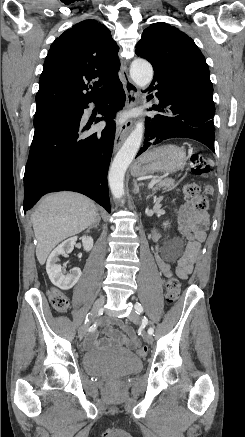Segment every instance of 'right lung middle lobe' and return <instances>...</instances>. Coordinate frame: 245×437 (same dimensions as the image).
<instances>
[{"label": "right lung middle lobe", "mask_w": 245, "mask_h": 437, "mask_svg": "<svg viewBox=\"0 0 245 437\" xmlns=\"http://www.w3.org/2000/svg\"><path fill=\"white\" fill-rule=\"evenodd\" d=\"M66 108H67V105H58V106H53V107H49V108H45V109H41V110H36L35 117H34V126L39 125L45 119H47L49 116H51L57 112L63 111Z\"/></svg>", "instance_id": "1"}]
</instances>
